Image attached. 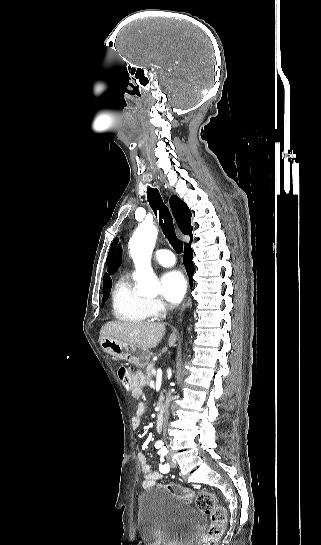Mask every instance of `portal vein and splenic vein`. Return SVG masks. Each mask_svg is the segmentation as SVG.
Instances as JSON below:
<instances>
[{"label": "portal vein and splenic vein", "instance_id": "portal-vein-and-splenic-vein-1", "mask_svg": "<svg viewBox=\"0 0 321 545\" xmlns=\"http://www.w3.org/2000/svg\"><path fill=\"white\" fill-rule=\"evenodd\" d=\"M152 371H153V376H156V370H155V368H152ZM151 387H153V385H151Z\"/></svg>", "mask_w": 321, "mask_h": 545}]
</instances>
